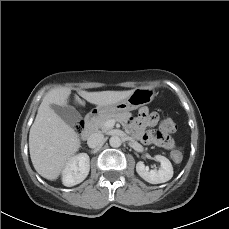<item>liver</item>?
<instances>
[{
  "label": "liver",
  "instance_id": "liver-1",
  "mask_svg": "<svg viewBox=\"0 0 229 229\" xmlns=\"http://www.w3.org/2000/svg\"><path fill=\"white\" fill-rule=\"evenodd\" d=\"M127 91L88 92L78 90L79 96L91 104L105 106L118 103L131 95ZM71 94L68 87L50 90L43 98L29 133V151L32 164L42 177L56 180L67 163L78 152L79 134L66 124L51 105L67 106ZM75 103L84 105L76 95Z\"/></svg>",
  "mask_w": 229,
  "mask_h": 229
}]
</instances>
